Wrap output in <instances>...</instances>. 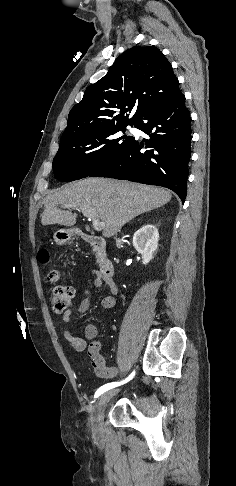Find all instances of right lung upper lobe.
<instances>
[{
	"mask_svg": "<svg viewBox=\"0 0 236 486\" xmlns=\"http://www.w3.org/2000/svg\"><path fill=\"white\" fill-rule=\"evenodd\" d=\"M181 95L172 65L158 48L132 47L71 109L60 144L112 126L134 124L147 108ZM134 106L136 112L128 119L125 113Z\"/></svg>",
	"mask_w": 236,
	"mask_h": 486,
	"instance_id": "right-lung-upper-lobe-1",
	"label": "right lung upper lobe"
}]
</instances>
